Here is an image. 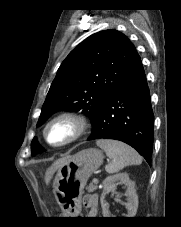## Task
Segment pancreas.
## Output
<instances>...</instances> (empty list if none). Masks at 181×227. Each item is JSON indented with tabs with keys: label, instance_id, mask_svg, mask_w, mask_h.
<instances>
[{
	"label": "pancreas",
	"instance_id": "pancreas-1",
	"mask_svg": "<svg viewBox=\"0 0 181 227\" xmlns=\"http://www.w3.org/2000/svg\"><path fill=\"white\" fill-rule=\"evenodd\" d=\"M86 190L91 193L97 190V185L94 183L89 184V186L86 187Z\"/></svg>",
	"mask_w": 181,
	"mask_h": 227
}]
</instances>
